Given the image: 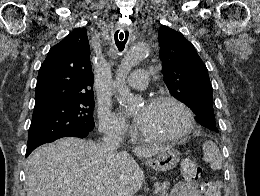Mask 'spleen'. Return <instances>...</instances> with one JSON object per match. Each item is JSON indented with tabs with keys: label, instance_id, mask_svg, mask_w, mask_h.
I'll return each instance as SVG.
<instances>
[{
	"label": "spleen",
	"instance_id": "3e777b00",
	"mask_svg": "<svg viewBox=\"0 0 260 196\" xmlns=\"http://www.w3.org/2000/svg\"><path fill=\"white\" fill-rule=\"evenodd\" d=\"M203 156L208 160L210 164V168L212 170H221L222 168V156L219 152V148H217L214 142L208 140V142H204L203 144Z\"/></svg>",
	"mask_w": 260,
	"mask_h": 196
}]
</instances>
